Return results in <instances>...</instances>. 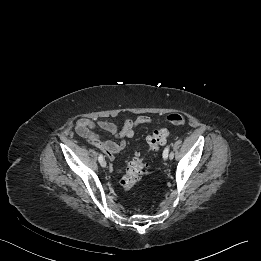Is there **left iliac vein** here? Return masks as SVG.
Instances as JSON below:
<instances>
[{"label": "left iliac vein", "mask_w": 261, "mask_h": 261, "mask_svg": "<svg viewBox=\"0 0 261 261\" xmlns=\"http://www.w3.org/2000/svg\"><path fill=\"white\" fill-rule=\"evenodd\" d=\"M171 155H173V153L171 152ZM169 158H170V155H169ZM167 159V158H166ZM171 159V158H170Z\"/></svg>", "instance_id": "obj_1"}]
</instances>
